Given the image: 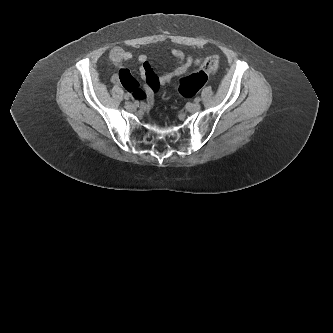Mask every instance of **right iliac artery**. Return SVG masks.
<instances>
[{"instance_id": "obj_1", "label": "right iliac artery", "mask_w": 333, "mask_h": 333, "mask_svg": "<svg viewBox=\"0 0 333 333\" xmlns=\"http://www.w3.org/2000/svg\"><path fill=\"white\" fill-rule=\"evenodd\" d=\"M124 97H125L126 100H128L130 96H129V94H125Z\"/></svg>"}]
</instances>
